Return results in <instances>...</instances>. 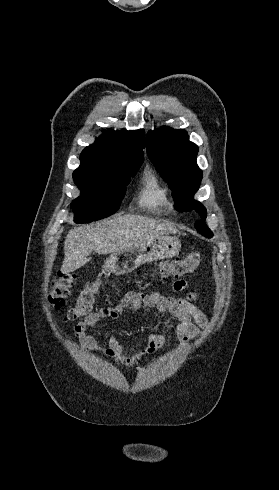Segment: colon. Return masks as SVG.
Instances as JSON below:
<instances>
[{"label": "colon", "instance_id": "1", "mask_svg": "<svg viewBox=\"0 0 279 490\" xmlns=\"http://www.w3.org/2000/svg\"><path fill=\"white\" fill-rule=\"evenodd\" d=\"M201 254L193 251L183 259L173 261H162L159 264L160 276L163 280L167 278H181L192 273L200 264ZM76 278L73 274L63 272L56 276L48 292L49 304L53 307H60L70 294V289L74 285ZM102 289V280L96 279L86 283L84 288L77 295L74 304L64 313V321H76L89 315L93 309L94 299Z\"/></svg>", "mask_w": 279, "mask_h": 490}]
</instances>
